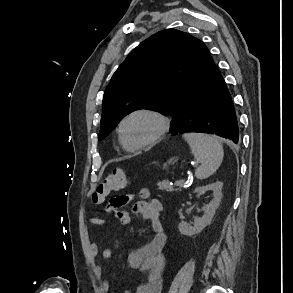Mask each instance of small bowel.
I'll return each mask as SVG.
<instances>
[{
  "instance_id": "c3829d8e",
  "label": "small bowel",
  "mask_w": 293,
  "mask_h": 293,
  "mask_svg": "<svg viewBox=\"0 0 293 293\" xmlns=\"http://www.w3.org/2000/svg\"><path fill=\"white\" fill-rule=\"evenodd\" d=\"M135 198H139V200L133 204L132 211L124 210V207ZM107 210L114 214L123 226L130 223L132 215H140L146 221L151 235L147 244L132 250L129 254V266L139 272L141 277L134 288L126 289L124 293H161L166 245V234L160 222L162 203L159 199L151 198L147 188H141L137 192L112 197L107 203ZM90 224L104 225L106 221L94 217L90 219ZM98 250L97 243L90 241L88 254L91 259L96 258ZM101 254L104 259H110L113 256V251L111 248L105 247ZM102 286L108 289L110 284L108 281H103Z\"/></svg>"
}]
</instances>
